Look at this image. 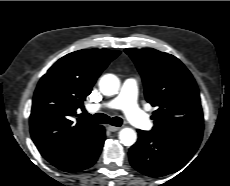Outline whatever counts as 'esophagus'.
<instances>
[{
    "instance_id": "34e87169",
    "label": "esophagus",
    "mask_w": 230,
    "mask_h": 186,
    "mask_svg": "<svg viewBox=\"0 0 230 186\" xmlns=\"http://www.w3.org/2000/svg\"><path fill=\"white\" fill-rule=\"evenodd\" d=\"M107 129H108L109 131H111V132H116V131H119V130L121 129V127H115V126L109 125V126L107 127Z\"/></svg>"
}]
</instances>
